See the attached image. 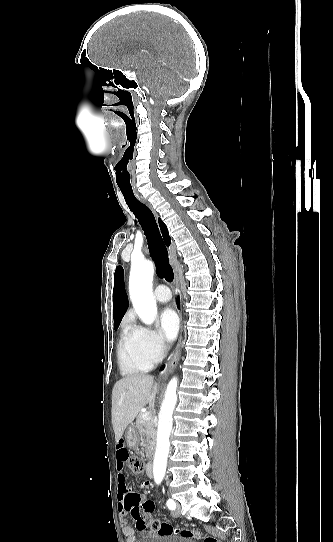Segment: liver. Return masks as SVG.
I'll return each mask as SVG.
<instances>
[{
  "instance_id": "6515ba94",
  "label": "liver",
  "mask_w": 333,
  "mask_h": 542,
  "mask_svg": "<svg viewBox=\"0 0 333 542\" xmlns=\"http://www.w3.org/2000/svg\"><path fill=\"white\" fill-rule=\"evenodd\" d=\"M157 392L158 384L147 374H130L116 382L112 392V424L117 444L141 408L149 404L150 410H154Z\"/></svg>"
}]
</instances>
